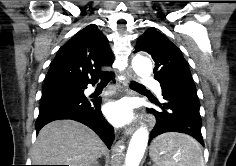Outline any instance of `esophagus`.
Segmentation results:
<instances>
[{"label":"esophagus","mask_w":236,"mask_h":166,"mask_svg":"<svg viewBox=\"0 0 236 166\" xmlns=\"http://www.w3.org/2000/svg\"><path fill=\"white\" fill-rule=\"evenodd\" d=\"M125 75H126V78H125V81H124L125 85L129 84L130 81H132L135 78V75L132 71H127ZM134 130H135V126L130 125V126L125 128V134L130 135L134 132Z\"/></svg>","instance_id":"1"}]
</instances>
